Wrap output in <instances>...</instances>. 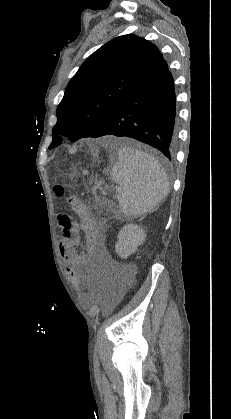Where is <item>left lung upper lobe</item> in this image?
Instances as JSON below:
<instances>
[{"instance_id": "obj_1", "label": "left lung upper lobe", "mask_w": 231, "mask_h": 419, "mask_svg": "<svg viewBox=\"0 0 231 419\" xmlns=\"http://www.w3.org/2000/svg\"><path fill=\"white\" fill-rule=\"evenodd\" d=\"M162 61L155 45L135 35L116 37L100 47L68 83L49 149L61 144L59 134L72 142L94 134Z\"/></svg>"}]
</instances>
